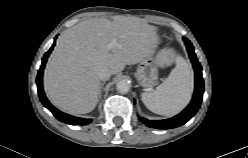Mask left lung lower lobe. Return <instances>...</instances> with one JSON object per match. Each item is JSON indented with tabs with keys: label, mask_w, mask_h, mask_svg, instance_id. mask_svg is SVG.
<instances>
[{
	"label": "left lung lower lobe",
	"mask_w": 248,
	"mask_h": 158,
	"mask_svg": "<svg viewBox=\"0 0 248 158\" xmlns=\"http://www.w3.org/2000/svg\"><path fill=\"white\" fill-rule=\"evenodd\" d=\"M184 43L186 44V48L190 57V60L194 67L195 72V90L194 95L192 98V101L188 105V107L182 111L177 116L165 119V120H158V121H151L148 119H143V122L148 127H153L157 129H168V128H175L178 126H181L185 124L188 120H190L198 111L201 101H202V95L204 92V82L202 78V68L199 64L196 55L194 53V48L192 46V43L187 39L183 38ZM142 120V119H141Z\"/></svg>",
	"instance_id": "left-lung-lower-lobe-1"
}]
</instances>
